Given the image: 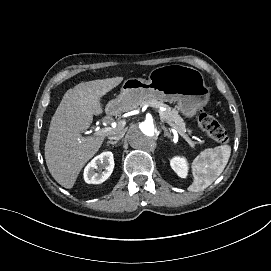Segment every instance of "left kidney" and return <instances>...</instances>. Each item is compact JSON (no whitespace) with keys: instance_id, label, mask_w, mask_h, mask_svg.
Here are the masks:
<instances>
[{"instance_id":"5707ae66","label":"left kidney","mask_w":271,"mask_h":271,"mask_svg":"<svg viewBox=\"0 0 271 271\" xmlns=\"http://www.w3.org/2000/svg\"><path fill=\"white\" fill-rule=\"evenodd\" d=\"M171 168L181 178H186L188 175V162L185 157L175 156L170 160Z\"/></svg>"}]
</instances>
